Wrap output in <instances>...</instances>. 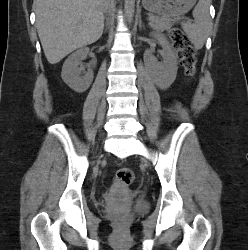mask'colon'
<instances>
[{
  "label": "colon",
  "instance_id": "obj_1",
  "mask_svg": "<svg viewBox=\"0 0 248 250\" xmlns=\"http://www.w3.org/2000/svg\"><path fill=\"white\" fill-rule=\"evenodd\" d=\"M168 36L174 48L178 51L185 74L188 77H193L196 72L197 56L191 41L186 34L178 28L170 29ZM114 178L116 182L128 186L134 180V173L131 168L124 167L116 171Z\"/></svg>",
  "mask_w": 248,
  "mask_h": 250
}]
</instances>
